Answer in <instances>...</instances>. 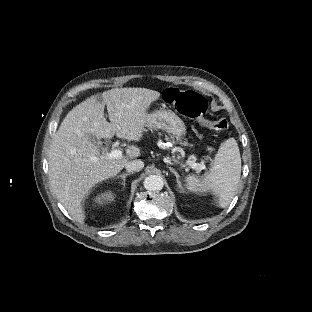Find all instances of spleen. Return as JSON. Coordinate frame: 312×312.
I'll list each match as a JSON object with an SVG mask.
<instances>
[{"mask_svg": "<svg viewBox=\"0 0 312 312\" xmlns=\"http://www.w3.org/2000/svg\"><path fill=\"white\" fill-rule=\"evenodd\" d=\"M241 175V157L239 147L234 138L221 143L211 170L203 178L188 176L187 189L204 193L212 191L219 197V206L226 207L232 200Z\"/></svg>", "mask_w": 312, "mask_h": 312, "instance_id": "1", "label": "spleen"}]
</instances>
